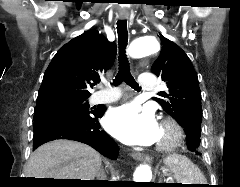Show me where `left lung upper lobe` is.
Here are the masks:
<instances>
[{"mask_svg": "<svg viewBox=\"0 0 240 187\" xmlns=\"http://www.w3.org/2000/svg\"><path fill=\"white\" fill-rule=\"evenodd\" d=\"M162 51L151 71L167 84L168 90L154 98L163 109L175 118L186 133L196 136L192 150L200 146L202 107L197 73L187 54L174 42L160 34Z\"/></svg>", "mask_w": 240, "mask_h": 187, "instance_id": "5c2ea615", "label": "left lung upper lobe"}]
</instances>
